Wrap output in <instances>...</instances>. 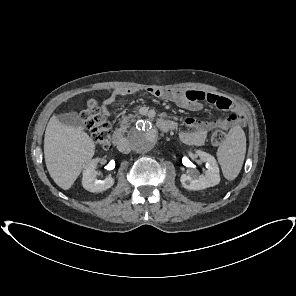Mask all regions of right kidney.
I'll use <instances>...</instances> for the list:
<instances>
[{
    "label": "right kidney",
    "instance_id": "ca27d5eb",
    "mask_svg": "<svg viewBox=\"0 0 296 296\" xmlns=\"http://www.w3.org/2000/svg\"><path fill=\"white\" fill-rule=\"evenodd\" d=\"M100 159H92L90 160L84 167L83 177H82V185L84 189L89 192H103L114 184V178L111 176L107 177L104 180L97 179V171L96 167L99 163Z\"/></svg>",
    "mask_w": 296,
    "mask_h": 296
}]
</instances>
